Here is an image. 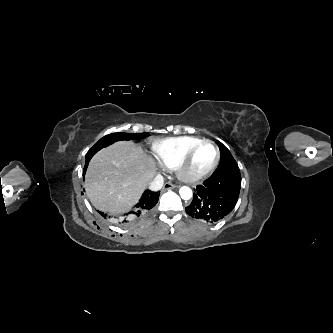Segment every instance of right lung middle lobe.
Masks as SVG:
<instances>
[{
	"label": "right lung middle lobe",
	"instance_id": "obj_1",
	"mask_svg": "<svg viewBox=\"0 0 333 333\" xmlns=\"http://www.w3.org/2000/svg\"><path fill=\"white\" fill-rule=\"evenodd\" d=\"M148 133H113L101 138L88 152L95 154L97 151L106 147L115 141L131 140L148 136Z\"/></svg>",
	"mask_w": 333,
	"mask_h": 333
}]
</instances>
